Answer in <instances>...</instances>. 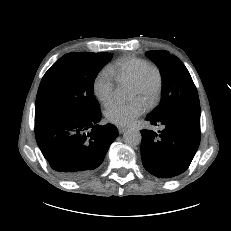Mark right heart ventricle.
Here are the masks:
<instances>
[{
  "label": "right heart ventricle",
  "instance_id": "right-heart-ventricle-1",
  "mask_svg": "<svg viewBox=\"0 0 231 231\" xmlns=\"http://www.w3.org/2000/svg\"><path fill=\"white\" fill-rule=\"evenodd\" d=\"M148 65L150 63L146 59L126 56L111 64L108 67V71L118 82L132 84L141 71Z\"/></svg>",
  "mask_w": 231,
  "mask_h": 231
}]
</instances>
